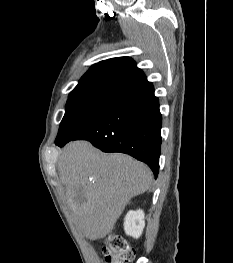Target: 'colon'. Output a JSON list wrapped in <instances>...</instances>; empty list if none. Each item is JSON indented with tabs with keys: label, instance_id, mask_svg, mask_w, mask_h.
<instances>
[{
	"label": "colon",
	"instance_id": "1",
	"mask_svg": "<svg viewBox=\"0 0 233 263\" xmlns=\"http://www.w3.org/2000/svg\"><path fill=\"white\" fill-rule=\"evenodd\" d=\"M102 254L106 263H132L135 251L127 244L126 240L118 235H111L105 241Z\"/></svg>",
	"mask_w": 233,
	"mask_h": 263
}]
</instances>
